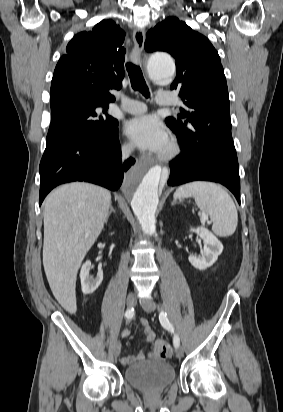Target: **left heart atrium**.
Returning a JSON list of instances; mask_svg holds the SVG:
<instances>
[{
    "mask_svg": "<svg viewBox=\"0 0 283 412\" xmlns=\"http://www.w3.org/2000/svg\"><path fill=\"white\" fill-rule=\"evenodd\" d=\"M125 134L141 150L159 153L168 144V134L154 116L136 117L127 122Z\"/></svg>",
    "mask_w": 283,
    "mask_h": 412,
    "instance_id": "39dd6f15",
    "label": "left heart atrium"
}]
</instances>
